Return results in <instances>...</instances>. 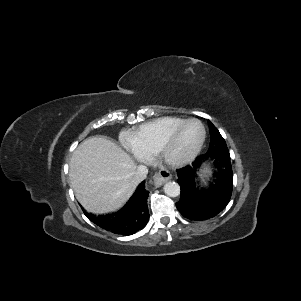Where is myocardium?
I'll use <instances>...</instances> for the list:
<instances>
[{"label":"myocardium","instance_id":"1","mask_svg":"<svg viewBox=\"0 0 301 301\" xmlns=\"http://www.w3.org/2000/svg\"><path fill=\"white\" fill-rule=\"evenodd\" d=\"M191 122H197L201 128H202V136L201 139L196 146V148L191 152L189 155L183 157V158H173L170 155V149L177 138L180 131L186 126L188 123ZM206 139V128L203 122L197 118H189L184 120L182 123H180L177 127H175L173 130H171L168 134H166L163 139L161 140L157 155L162 163L169 167H181L184 165H187L188 163L192 162L200 153L202 150V147L205 143Z\"/></svg>","mask_w":301,"mask_h":301}]
</instances>
